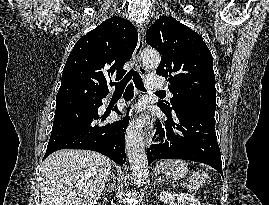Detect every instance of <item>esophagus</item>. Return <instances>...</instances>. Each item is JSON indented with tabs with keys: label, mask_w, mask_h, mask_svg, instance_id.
Instances as JSON below:
<instances>
[{
	"label": "esophagus",
	"mask_w": 269,
	"mask_h": 205,
	"mask_svg": "<svg viewBox=\"0 0 269 205\" xmlns=\"http://www.w3.org/2000/svg\"><path fill=\"white\" fill-rule=\"evenodd\" d=\"M144 37H145L144 28L140 26L138 28V43L134 52V59L136 62L138 72L140 73L141 76H145L147 73L145 67L142 65L141 62V52L144 47ZM153 127H154V119L151 116H148L143 131L144 143L146 147H149L151 144V134L153 132Z\"/></svg>",
	"instance_id": "obj_1"
}]
</instances>
